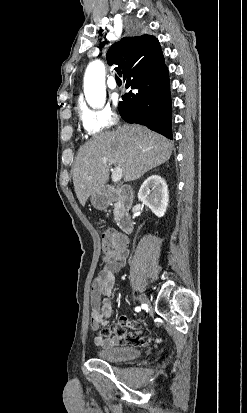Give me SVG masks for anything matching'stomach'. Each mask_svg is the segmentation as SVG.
I'll return each mask as SVG.
<instances>
[{"label":"stomach","mask_w":247,"mask_h":413,"mask_svg":"<svg viewBox=\"0 0 247 413\" xmlns=\"http://www.w3.org/2000/svg\"><path fill=\"white\" fill-rule=\"evenodd\" d=\"M90 200L95 209H100V211H102V209H106L108 204H110L111 194H109L108 190H104V188H102L100 192H93L90 196Z\"/></svg>","instance_id":"obj_1"}]
</instances>
